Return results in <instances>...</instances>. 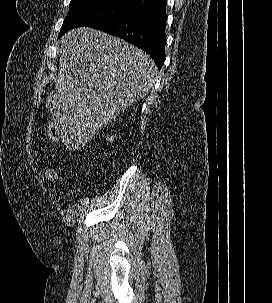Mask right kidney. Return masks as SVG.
I'll return each mask as SVG.
<instances>
[{"instance_id": "right-kidney-1", "label": "right kidney", "mask_w": 272, "mask_h": 303, "mask_svg": "<svg viewBox=\"0 0 272 303\" xmlns=\"http://www.w3.org/2000/svg\"><path fill=\"white\" fill-rule=\"evenodd\" d=\"M113 139H114V136H111L110 138L107 139V141L111 142V141H113Z\"/></svg>"}]
</instances>
